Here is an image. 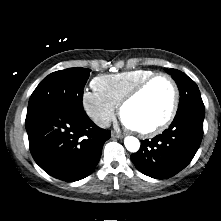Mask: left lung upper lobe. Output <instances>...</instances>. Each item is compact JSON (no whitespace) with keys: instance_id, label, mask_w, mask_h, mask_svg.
<instances>
[{"instance_id":"1","label":"left lung upper lobe","mask_w":221,"mask_h":221,"mask_svg":"<svg viewBox=\"0 0 221 221\" xmlns=\"http://www.w3.org/2000/svg\"><path fill=\"white\" fill-rule=\"evenodd\" d=\"M170 73L180 91L178 111L189 106H204L198 86L193 80L176 69H170Z\"/></svg>"}]
</instances>
